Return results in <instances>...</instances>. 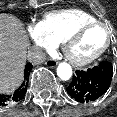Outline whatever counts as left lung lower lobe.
<instances>
[{"instance_id":"0a47b994","label":"left lung lower lobe","mask_w":117,"mask_h":117,"mask_svg":"<svg viewBox=\"0 0 117 117\" xmlns=\"http://www.w3.org/2000/svg\"><path fill=\"white\" fill-rule=\"evenodd\" d=\"M112 76V64L104 61L85 71L77 70L66 90L72 98L80 103L92 102L106 93L110 87Z\"/></svg>"}]
</instances>
